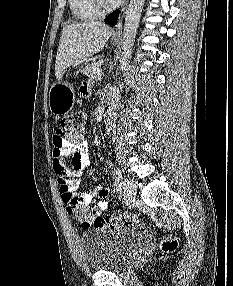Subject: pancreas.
<instances>
[{
  "mask_svg": "<svg viewBox=\"0 0 233 286\" xmlns=\"http://www.w3.org/2000/svg\"><path fill=\"white\" fill-rule=\"evenodd\" d=\"M101 64V61H94L92 63H89L82 69V73L91 79H96L98 76L101 75Z\"/></svg>",
  "mask_w": 233,
  "mask_h": 286,
  "instance_id": "1",
  "label": "pancreas"
}]
</instances>
